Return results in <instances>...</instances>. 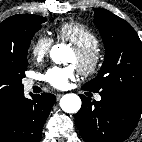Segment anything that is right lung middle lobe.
Here are the masks:
<instances>
[{
	"instance_id": "dd1d6c3e",
	"label": "right lung middle lobe",
	"mask_w": 142,
	"mask_h": 142,
	"mask_svg": "<svg viewBox=\"0 0 142 142\" xmlns=\"http://www.w3.org/2000/svg\"><path fill=\"white\" fill-rule=\"evenodd\" d=\"M46 21V18L31 15L25 27L18 34L16 47L0 58V87L23 90L22 78L27 70V54L30 41Z\"/></svg>"
}]
</instances>
